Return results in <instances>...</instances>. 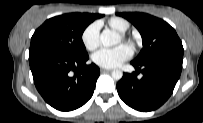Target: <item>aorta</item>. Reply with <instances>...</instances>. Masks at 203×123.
Masks as SVG:
<instances>
[{
	"label": "aorta",
	"instance_id": "762f6f07",
	"mask_svg": "<svg viewBox=\"0 0 203 123\" xmlns=\"http://www.w3.org/2000/svg\"><path fill=\"white\" fill-rule=\"evenodd\" d=\"M100 41L105 47H110L117 45L120 42V36L115 31L105 29L102 31L100 35ZM123 76L121 70H113L112 71V78L114 80H120Z\"/></svg>",
	"mask_w": 203,
	"mask_h": 123
}]
</instances>
